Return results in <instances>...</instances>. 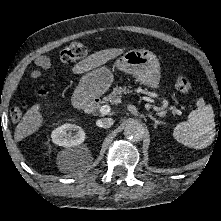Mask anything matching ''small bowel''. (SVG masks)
Segmentation results:
<instances>
[{
	"label": "small bowel",
	"instance_id": "obj_1",
	"mask_svg": "<svg viewBox=\"0 0 221 221\" xmlns=\"http://www.w3.org/2000/svg\"><path fill=\"white\" fill-rule=\"evenodd\" d=\"M37 65L41 68V69H47L50 66V61L48 58L46 57H40L37 59ZM40 71H37L36 74H38Z\"/></svg>",
	"mask_w": 221,
	"mask_h": 221
}]
</instances>
